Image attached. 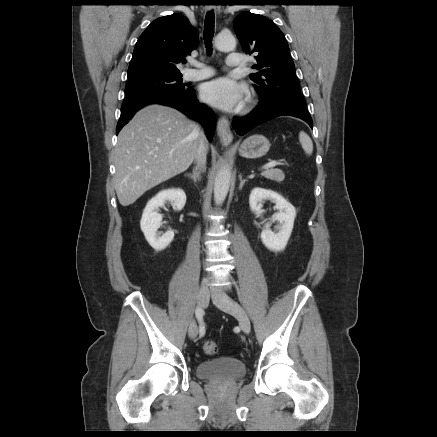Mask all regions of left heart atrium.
Wrapping results in <instances>:
<instances>
[{
  "label": "left heart atrium",
  "instance_id": "left-heart-atrium-1",
  "mask_svg": "<svg viewBox=\"0 0 437 437\" xmlns=\"http://www.w3.org/2000/svg\"><path fill=\"white\" fill-rule=\"evenodd\" d=\"M245 94V86L229 78L210 81L203 86L201 91L202 98L206 102L224 111L235 110Z\"/></svg>",
  "mask_w": 437,
  "mask_h": 437
}]
</instances>
